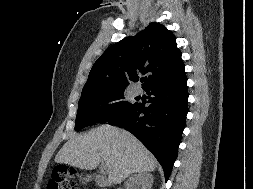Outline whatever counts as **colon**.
Masks as SVG:
<instances>
[{
  "instance_id": "colon-1",
  "label": "colon",
  "mask_w": 253,
  "mask_h": 189,
  "mask_svg": "<svg viewBox=\"0 0 253 189\" xmlns=\"http://www.w3.org/2000/svg\"><path fill=\"white\" fill-rule=\"evenodd\" d=\"M76 171L65 165L56 167L48 184V189H77L74 181Z\"/></svg>"
}]
</instances>
